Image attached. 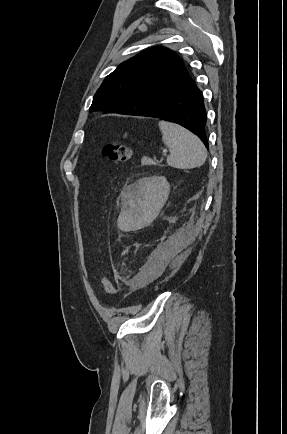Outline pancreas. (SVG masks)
<instances>
[{"label": "pancreas", "instance_id": "1", "mask_svg": "<svg viewBox=\"0 0 287 434\" xmlns=\"http://www.w3.org/2000/svg\"><path fill=\"white\" fill-rule=\"evenodd\" d=\"M141 163L143 165H155V162L151 158H148V157H143L141 160Z\"/></svg>", "mask_w": 287, "mask_h": 434}]
</instances>
